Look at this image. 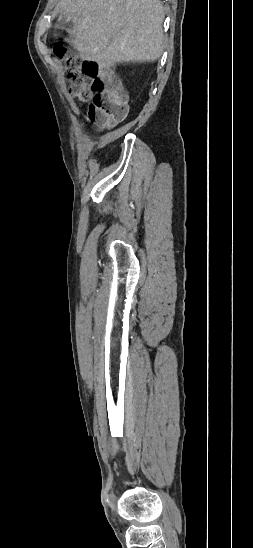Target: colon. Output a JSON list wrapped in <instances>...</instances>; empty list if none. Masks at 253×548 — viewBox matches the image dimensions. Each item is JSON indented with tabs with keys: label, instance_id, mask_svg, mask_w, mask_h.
Returning a JSON list of instances; mask_svg holds the SVG:
<instances>
[{
	"label": "colon",
	"instance_id": "5ec220e1",
	"mask_svg": "<svg viewBox=\"0 0 253 548\" xmlns=\"http://www.w3.org/2000/svg\"><path fill=\"white\" fill-rule=\"evenodd\" d=\"M55 55L69 69V92L90 104L87 119L97 127H109L127 114V94L118 78L110 71H100L91 60L71 56L63 46L54 49Z\"/></svg>",
	"mask_w": 253,
	"mask_h": 548
}]
</instances>
